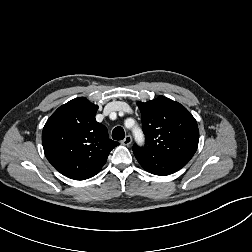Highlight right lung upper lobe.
Returning a JSON list of instances; mask_svg holds the SVG:
<instances>
[{"instance_id":"obj_1","label":"right lung upper lobe","mask_w":252,"mask_h":252,"mask_svg":"<svg viewBox=\"0 0 252 252\" xmlns=\"http://www.w3.org/2000/svg\"><path fill=\"white\" fill-rule=\"evenodd\" d=\"M97 109L84 97L73 99L60 106L43 128L45 156L68 178L83 180L96 175L119 144L95 120Z\"/></svg>"}]
</instances>
